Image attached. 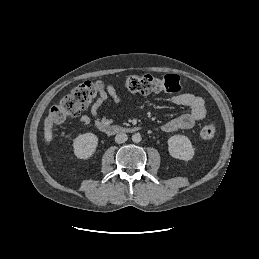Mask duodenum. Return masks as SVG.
Wrapping results in <instances>:
<instances>
[{
    "label": "duodenum",
    "instance_id": "duodenum-1",
    "mask_svg": "<svg viewBox=\"0 0 259 259\" xmlns=\"http://www.w3.org/2000/svg\"><path fill=\"white\" fill-rule=\"evenodd\" d=\"M100 130L109 133V134H115V133H125V132H136L139 130L137 127H121L116 125H104L100 127Z\"/></svg>",
    "mask_w": 259,
    "mask_h": 259
}]
</instances>
